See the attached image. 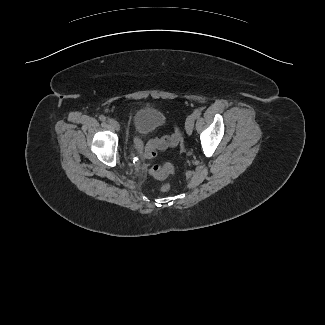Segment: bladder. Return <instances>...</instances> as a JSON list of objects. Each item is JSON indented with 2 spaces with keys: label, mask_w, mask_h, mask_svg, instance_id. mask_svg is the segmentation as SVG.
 <instances>
[{
  "label": "bladder",
  "mask_w": 325,
  "mask_h": 325,
  "mask_svg": "<svg viewBox=\"0 0 325 325\" xmlns=\"http://www.w3.org/2000/svg\"><path fill=\"white\" fill-rule=\"evenodd\" d=\"M165 121V114L155 107L144 106L137 109L133 114L134 131L139 136H145L155 131Z\"/></svg>",
  "instance_id": "obj_1"
}]
</instances>
